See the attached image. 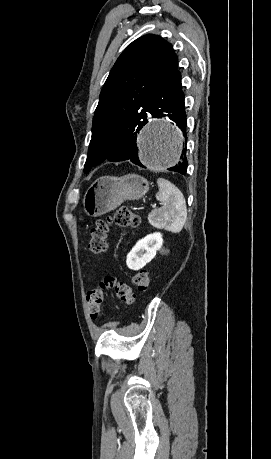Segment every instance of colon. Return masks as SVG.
<instances>
[{"mask_svg": "<svg viewBox=\"0 0 271 459\" xmlns=\"http://www.w3.org/2000/svg\"><path fill=\"white\" fill-rule=\"evenodd\" d=\"M141 224L138 215L130 209L122 207L117 209L114 214L106 219H99L90 231L89 249L94 254H101L107 248V233L111 225L125 228H137ZM133 285L140 292L145 291L150 282L149 275L146 271H138L132 278ZM112 290L122 302L131 304L135 300V294L132 288L120 282L114 277H105L100 284L87 293V302L90 316L95 319L99 315L100 305L103 301L105 292Z\"/></svg>", "mask_w": 271, "mask_h": 459, "instance_id": "colon-1", "label": "colon"}]
</instances>
